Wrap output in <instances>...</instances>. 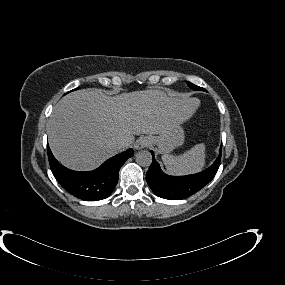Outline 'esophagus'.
<instances>
[{
    "label": "esophagus",
    "instance_id": "esophagus-1",
    "mask_svg": "<svg viewBox=\"0 0 285 285\" xmlns=\"http://www.w3.org/2000/svg\"><path fill=\"white\" fill-rule=\"evenodd\" d=\"M150 145H151L150 139L147 137H142L136 141L134 147L136 150H140L149 147Z\"/></svg>",
    "mask_w": 285,
    "mask_h": 285
}]
</instances>
